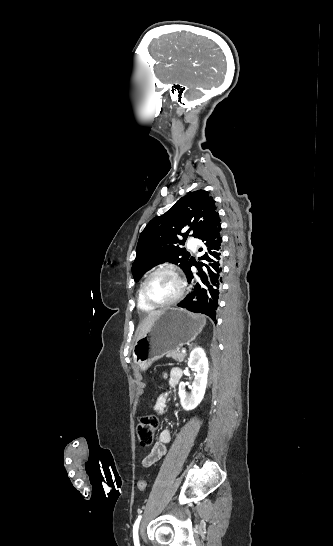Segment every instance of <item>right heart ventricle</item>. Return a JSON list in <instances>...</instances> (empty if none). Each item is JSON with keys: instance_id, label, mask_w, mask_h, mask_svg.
<instances>
[{"instance_id": "1", "label": "right heart ventricle", "mask_w": 333, "mask_h": 546, "mask_svg": "<svg viewBox=\"0 0 333 546\" xmlns=\"http://www.w3.org/2000/svg\"><path fill=\"white\" fill-rule=\"evenodd\" d=\"M137 305H138V308L140 310L144 311V312H152V311L155 310V307L149 305L143 299L142 293H141V288L139 289L138 294H137Z\"/></svg>"}]
</instances>
